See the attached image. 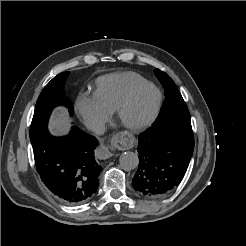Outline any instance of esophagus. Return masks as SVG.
Returning a JSON list of instances; mask_svg holds the SVG:
<instances>
[{"label": "esophagus", "mask_w": 246, "mask_h": 246, "mask_svg": "<svg viewBox=\"0 0 246 246\" xmlns=\"http://www.w3.org/2000/svg\"><path fill=\"white\" fill-rule=\"evenodd\" d=\"M97 156L99 159H108L113 156L110 147L101 144L97 149Z\"/></svg>", "instance_id": "1"}]
</instances>
